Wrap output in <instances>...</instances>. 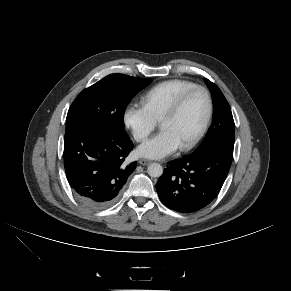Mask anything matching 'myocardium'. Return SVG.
Segmentation results:
<instances>
[{
    "label": "myocardium",
    "instance_id": "f54148a6",
    "mask_svg": "<svg viewBox=\"0 0 291 291\" xmlns=\"http://www.w3.org/2000/svg\"><path fill=\"white\" fill-rule=\"evenodd\" d=\"M196 91H201L205 95L206 101H207V110H206L204 120L199 130L196 132V134L187 143L179 146L181 151H188L192 149L205 134L213 115L214 105H213V99H212L211 93L209 92L207 88L201 85H195L185 90L173 101V103L165 111V113L162 115L160 119V124H161L164 120L175 116L179 112V110L181 109L182 105L187 100V98Z\"/></svg>",
    "mask_w": 291,
    "mask_h": 291
}]
</instances>
